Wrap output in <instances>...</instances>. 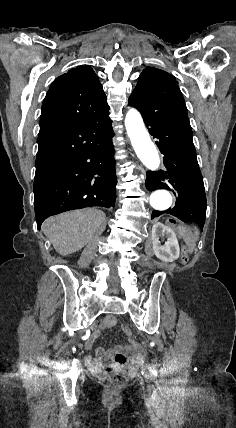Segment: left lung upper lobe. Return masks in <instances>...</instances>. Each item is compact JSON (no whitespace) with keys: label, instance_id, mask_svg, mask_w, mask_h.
<instances>
[{"label":"left lung upper lobe","instance_id":"obj_1","mask_svg":"<svg viewBox=\"0 0 236 428\" xmlns=\"http://www.w3.org/2000/svg\"><path fill=\"white\" fill-rule=\"evenodd\" d=\"M129 105L137 108L143 118L166 119L191 129L183 95L175 77L147 67L129 97Z\"/></svg>","mask_w":236,"mask_h":428}]
</instances>
